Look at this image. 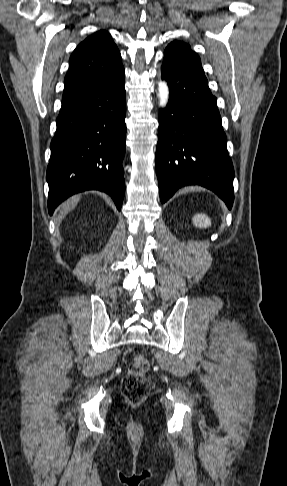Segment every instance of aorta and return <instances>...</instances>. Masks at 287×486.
<instances>
[{
  "mask_svg": "<svg viewBox=\"0 0 287 486\" xmlns=\"http://www.w3.org/2000/svg\"><path fill=\"white\" fill-rule=\"evenodd\" d=\"M168 96H169L168 86H167L166 83H163L162 84V100H163V104H166L167 103Z\"/></svg>",
  "mask_w": 287,
  "mask_h": 486,
  "instance_id": "aorta-1",
  "label": "aorta"
}]
</instances>
